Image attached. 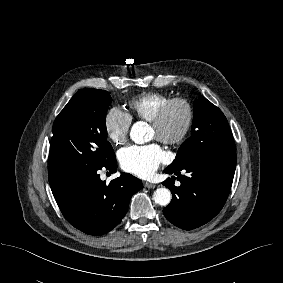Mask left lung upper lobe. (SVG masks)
Listing matches in <instances>:
<instances>
[{
  "mask_svg": "<svg viewBox=\"0 0 283 283\" xmlns=\"http://www.w3.org/2000/svg\"><path fill=\"white\" fill-rule=\"evenodd\" d=\"M235 153V143L226 117L204 96L194 105L191 136L180 146L167 167L179 168L192 161Z\"/></svg>",
  "mask_w": 283,
  "mask_h": 283,
  "instance_id": "1",
  "label": "left lung upper lobe"
}]
</instances>
